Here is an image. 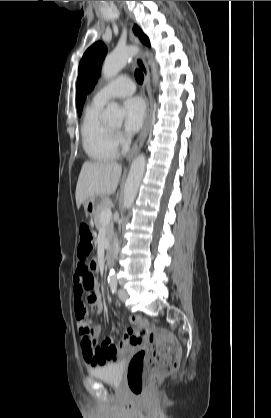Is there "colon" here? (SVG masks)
<instances>
[{
    "instance_id": "obj_1",
    "label": "colon",
    "mask_w": 271,
    "mask_h": 418,
    "mask_svg": "<svg viewBox=\"0 0 271 418\" xmlns=\"http://www.w3.org/2000/svg\"><path fill=\"white\" fill-rule=\"evenodd\" d=\"M94 244L91 227L86 222L79 225L78 256L89 257ZM79 314H86L80 312ZM131 321L143 326L141 333L147 336V345L135 353L129 361L127 383L135 396L145 394L156 379L174 372L180 360V346L175 337L165 329H150L139 317Z\"/></svg>"
}]
</instances>
